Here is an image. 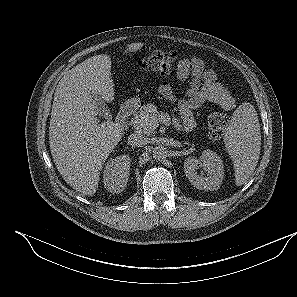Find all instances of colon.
I'll return each instance as SVG.
<instances>
[{
    "label": "colon",
    "mask_w": 297,
    "mask_h": 297,
    "mask_svg": "<svg viewBox=\"0 0 297 297\" xmlns=\"http://www.w3.org/2000/svg\"><path fill=\"white\" fill-rule=\"evenodd\" d=\"M176 54L172 52L156 51L141 57L138 61L140 68L161 75H170L176 62ZM228 125L227 117L219 112L212 113L207 120L208 132L213 138L223 136Z\"/></svg>",
    "instance_id": "1"
}]
</instances>
